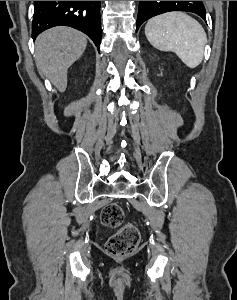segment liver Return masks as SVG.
Returning a JSON list of instances; mask_svg holds the SVG:
<instances>
[{"instance_id": "1", "label": "liver", "mask_w": 237, "mask_h": 300, "mask_svg": "<svg viewBox=\"0 0 237 300\" xmlns=\"http://www.w3.org/2000/svg\"><path fill=\"white\" fill-rule=\"evenodd\" d=\"M87 45L86 35L70 27H54L41 33L35 41L36 67L51 81L59 93L67 87V71Z\"/></svg>"}]
</instances>
